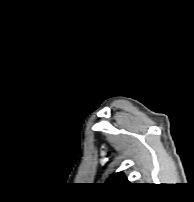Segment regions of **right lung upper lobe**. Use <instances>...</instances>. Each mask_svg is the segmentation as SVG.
Here are the masks:
<instances>
[{"label": "right lung upper lobe", "instance_id": "cb5924a9", "mask_svg": "<svg viewBox=\"0 0 194 202\" xmlns=\"http://www.w3.org/2000/svg\"><path fill=\"white\" fill-rule=\"evenodd\" d=\"M106 184H129L123 173H115L106 181Z\"/></svg>", "mask_w": 194, "mask_h": 202}]
</instances>
